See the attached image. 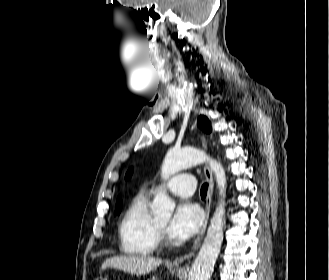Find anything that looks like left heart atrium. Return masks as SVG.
<instances>
[{
    "mask_svg": "<svg viewBox=\"0 0 329 280\" xmlns=\"http://www.w3.org/2000/svg\"><path fill=\"white\" fill-rule=\"evenodd\" d=\"M202 221L203 213L198 205L182 202L177 206L168 225V233L174 239H187L197 233Z\"/></svg>",
    "mask_w": 329,
    "mask_h": 280,
    "instance_id": "obj_1",
    "label": "left heart atrium"
}]
</instances>
